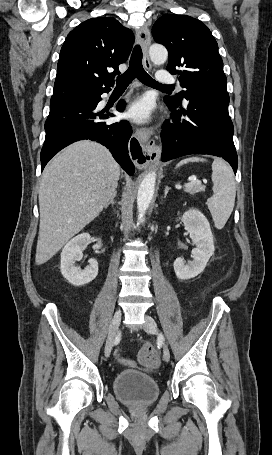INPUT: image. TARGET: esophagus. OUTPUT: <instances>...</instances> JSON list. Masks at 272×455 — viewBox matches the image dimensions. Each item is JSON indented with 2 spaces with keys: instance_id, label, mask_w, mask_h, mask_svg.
Instances as JSON below:
<instances>
[{
  "instance_id": "1",
  "label": "esophagus",
  "mask_w": 272,
  "mask_h": 455,
  "mask_svg": "<svg viewBox=\"0 0 272 455\" xmlns=\"http://www.w3.org/2000/svg\"><path fill=\"white\" fill-rule=\"evenodd\" d=\"M138 43L141 45L143 50V63L144 66L150 70L151 63L148 55V48L151 42L150 31L146 25L142 26L136 32ZM152 130L149 128H138L135 132V138L131 140V153L134 159V163L138 169H145L152 163L159 159L161 149L151 139ZM140 145H139V143Z\"/></svg>"
}]
</instances>
